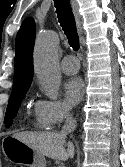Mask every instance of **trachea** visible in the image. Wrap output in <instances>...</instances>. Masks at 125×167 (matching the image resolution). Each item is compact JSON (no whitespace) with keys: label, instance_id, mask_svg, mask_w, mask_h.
Listing matches in <instances>:
<instances>
[{"label":"trachea","instance_id":"trachea-1","mask_svg":"<svg viewBox=\"0 0 125 167\" xmlns=\"http://www.w3.org/2000/svg\"><path fill=\"white\" fill-rule=\"evenodd\" d=\"M59 23L67 36L70 46L74 50L79 49V37L76 29L74 15L70 0H54Z\"/></svg>","mask_w":125,"mask_h":167}]
</instances>
